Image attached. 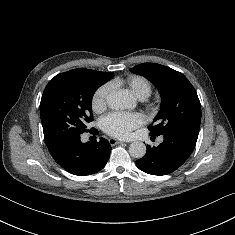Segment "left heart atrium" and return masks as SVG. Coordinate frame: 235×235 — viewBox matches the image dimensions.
<instances>
[{
	"instance_id": "1",
	"label": "left heart atrium",
	"mask_w": 235,
	"mask_h": 235,
	"mask_svg": "<svg viewBox=\"0 0 235 235\" xmlns=\"http://www.w3.org/2000/svg\"><path fill=\"white\" fill-rule=\"evenodd\" d=\"M144 120L140 113L113 112L102 119L101 125L103 130L111 136L128 138L133 130L144 123Z\"/></svg>"
}]
</instances>
